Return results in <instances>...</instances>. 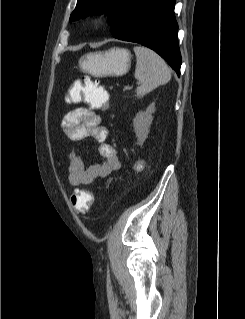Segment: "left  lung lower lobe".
<instances>
[{"label": "left lung lower lobe", "mask_w": 245, "mask_h": 319, "mask_svg": "<svg viewBox=\"0 0 245 319\" xmlns=\"http://www.w3.org/2000/svg\"><path fill=\"white\" fill-rule=\"evenodd\" d=\"M175 2L176 0H141L114 37L153 49L179 76L181 55L177 38L178 24L174 15Z\"/></svg>", "instance_id": "obj_1"}]
</instances>
